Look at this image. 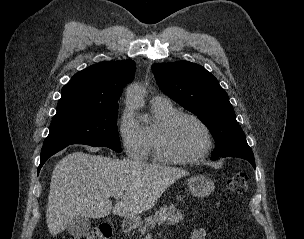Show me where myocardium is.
Instances as JSON below:
<instances>
[{"instance_id": "f54148a6", "label": "myocardium", "mask_w": 304, "mask_h": 239, "mask_svg": "<svg viewBox=\"0 0 304 239\" xmlns=\"http://www.w3.org/2000/svg\"><path fill=\"white\" fill-rule=\"evenodd\" d=\"M188 118L196 122L204 132L205 135V146L196 155L189 157H179L172 155L167 149V138L174 125L181 119ZM213 147V137L208 125L197 115L190 112H176L168 117L159 127L156 138H155V153L158 159L162 162L169 164H193L203 160Z\"/></svg>"}]
</instances>
